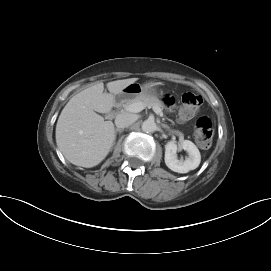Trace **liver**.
Wrapping results in <instances>:
<instances>
[{
    "label": "liver",
    "instance_id": "liver-1",
    "mask_svg": "<svg viewBox=\"0 0 271 271\" xmlns=\"http://www.w3.org/2000/svg\"><path fill=\"white\" fill-rule=\"evenodd\" d=\"M137 80L108 82L109 93L103 92L104 84L99 82L69 100L57 121L56 143L70 163L91 168L106 158L115 140L114 124L96 112H110L115 96Z\"/></svg>",
    "mask_w": 271,
    "mask_h": 271
}]
</instances>
